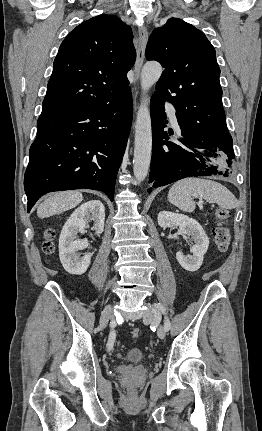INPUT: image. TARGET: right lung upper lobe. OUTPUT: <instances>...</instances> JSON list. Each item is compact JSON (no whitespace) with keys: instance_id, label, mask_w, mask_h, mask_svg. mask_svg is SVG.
Returning a JSON list of instances; mask_svg holds the SVG:
<instances>
[{"instance_id":"obj_1","label":"right lung upper lobe","mask_w":262,"mask_h":431,"mask_svg":"<svg viewBox=\"0 0 262 431\" xmlns=\"http://www.w3.org/2000/svg\"><path fill=\"white\" fill-rule=\"evenodd\" d=\"M136 51L129 26L99 15L73 29L60 45L43 110L100 107L130 90L127 72Z\"/></svg>"}]
</instances>
